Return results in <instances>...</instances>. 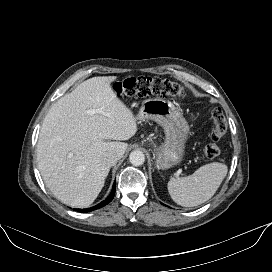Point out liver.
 Here are the masks:
<instances>
[{
  "instance_id": "6515ba94",
  "label": "liver",
  "mask_w": 272,
  "mask_h": 272,
  "mask_svg": "<svg viewBox=\"0 0 272 272\" xmlns=\"http://www.w3.org/2000/svg\"><path fill=\"white\" fill-rule=\"evenodd\" d=\"M116 78L82 82L55 102L43 121L38 167L52 194L71 207L85 208L94 202L110 170L103 155L117 152L122 157L128 144L119 141L137 132L133 112L110 85Z\"/></svg>"
}]
</instances>
